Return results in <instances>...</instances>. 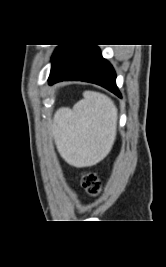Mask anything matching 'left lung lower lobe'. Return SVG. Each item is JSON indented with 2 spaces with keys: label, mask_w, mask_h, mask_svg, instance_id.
Masks as SVG:
<instances>
[{
  "label": "left lung lower lobe",
  "mask_w": 166,
  "mask_h": 267,
  "mask_svg": "<svg viewBox=\"0 0 166 267\" xmlns=\"http://www.w3.org/2000/svg\"><path fill=\"white\" fill-rule=\"evenodd\" d=\"M80 80L98 84L121 97L112 65L96 45H60L52 57L49 84Z\"/></svg>",
  "instance_id": "0a47b994"
}]
</instances>
